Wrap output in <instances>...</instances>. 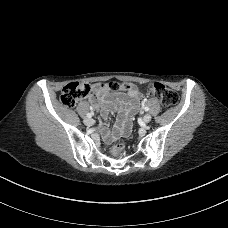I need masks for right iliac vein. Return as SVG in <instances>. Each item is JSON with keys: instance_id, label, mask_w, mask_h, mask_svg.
<instances>
[{"instance_id": "obj_1", "label": "right iliac vein", "mask_w": 228, "mask_h": 228, "mask_svg": "<svg viewBox=\"0 0 228 228\" xmlns=\"http://www.w3.org/2000/svg\"><path fill=\"white\" fill-rule=\"evenodd\" d=\"M84 123L87 126H92L95 123V121L92 118H85Z\"/></svg>"}]
</instances>
